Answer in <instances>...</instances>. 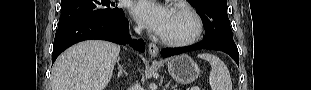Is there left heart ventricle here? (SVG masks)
Masks as SVG:
<instances>
[{
  "label": "left heart ventricle",
  "instance_id": "obj_1",
  "mask_svg": "<svg viewBox=\"0 0 311 90\" xmlns=\"http://www.w3.org/2000/svg\"><path fill=\"white\" fill-rule=\"evenodd\" d=\"M193 31L191 19L178 10H172L168 25L163 33L165 37L183 38Z\"/></svg>",
  "mask_w": 311,
  "mask_h": 90
}]
</instances>
